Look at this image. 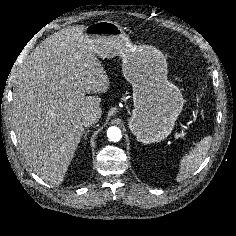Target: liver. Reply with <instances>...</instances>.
I'll return each mask as SVG.
<instances>
[{"label":"liver","mask_w":236,"mask_h":236,"mask_svg":"<svg viewBox=\"0 0 236 236\" xmlns=\"http://www.w3.org/2000/svg\"><path fill=\"white\" fill-rule=\"evenodd\" d=\"M84 25L62 29L39 44L21 65L13 93V124L28 165L60 185L84 133L82 116L100 117L109 78L85 37Z\"/></svg>","instance_id":"6515ba94"}]
</instances>
